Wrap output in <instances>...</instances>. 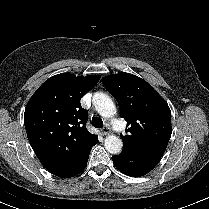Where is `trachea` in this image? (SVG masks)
Listing matches in <instances>:
<instances>
[{"label":"trachea","instance_id":"3493384b","mask_svg":"<svg viewBox=\"0 0 209 209\" xmlns=\"http://www.w3.org/2000/svg\"><path fill=\"white\" fill-rule=\"evenodd\" d=\"M92 124L96 128H101L103 126V121L100 118L94 116L92 118Z\"/></svg>","mask_w":209,"mask_h":209}]
</instances>
